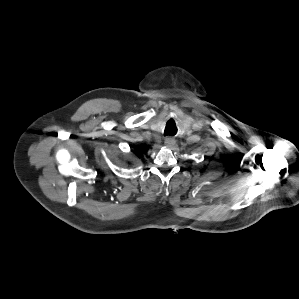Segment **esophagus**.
Here are the masks:
<instances>
[{
    "instance_id": "1",
    "label": "esophagus",
    "mask_w": 299,
    "mask_h": 299,
    "mask_svg": "<svg viewBox=\"0 0 299 299\" xmlns=\"http://www.w3.org/2000/svg\"><path fill=\"white\" fill-rule=\"evenodd\" d=\"M175 139L173 137H167L164 141V144L167 146V147H172L173 145H175Z\"/></svg>"
}]
</instances>
